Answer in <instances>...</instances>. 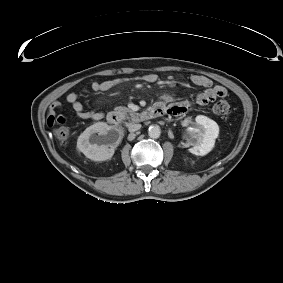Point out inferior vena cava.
Listing matches in <instances>:
<instances>
[{
    "label": "inferior vena cava",
    "mask_w": 283,
    "mask_h": 283,
    "mask_svg": "<svg viewBox=\"0 0 283 283\" xmlns=\"http://www.w3.org/2000/svg\"><path fill=\"white\" fill-rule=\"evenodd\" d=\"M129 132H135L141 128V124L139 123H129L127 125Z\"/></svg>",
    "instance_id": "602c4592"
}]
</instances>
